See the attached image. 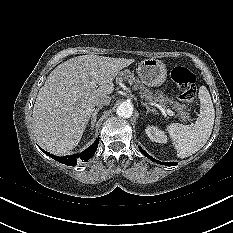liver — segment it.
I'll use <instances>...</instances> for the list:
<instances>
[{"label":"liver","mask_w":233,"mask_h":233,"mask_svg":"<svg viewBox=\"0 0 233 233\" xmlns=\"http://www.w3.org/2000/svg\"><path fill=\"white\" fill-rule=\"evenodd\" d=\"M133 62L82 55L58 65L40 88L34 104L32 126L38 144L56 155L75 148L97 101L113 93L114 78ZM92 80L99 86L91 87Z\"/></svg>","instance_id":"1"}]
</instances>
